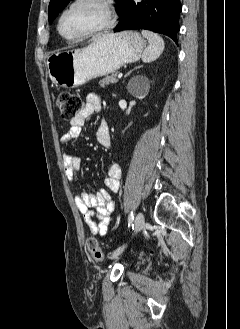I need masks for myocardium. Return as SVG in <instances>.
<instances>
[{"label":"myocardium","mask_w":240,"mask_h":329,"mask_svg":"<svg viewBox=\"0 0 240 329\" xmlns=\"http://www.w3.org/2000/svg\"><path fill=\"white\" fill-rule=\"evenodd\" d=\"M95 2L97 4H99L101 7H103V9L105 10V14H106V22L98 27H95L89 31H86L84 33H81L79 35L76 36H66L62 33L61 31V22L62 19L64 18V16L76 5L83 3V2ZM116 23V12H115V8L113 5V0H73L71 1L59 14L57 22H56V29L58 34L65 39L66 41H78V40H82L85 38H88L90 36L96 35V34H100L103 32H106L108 30H110Z\"/></svg>","instance_id":"obj_1"}]
</instances>
